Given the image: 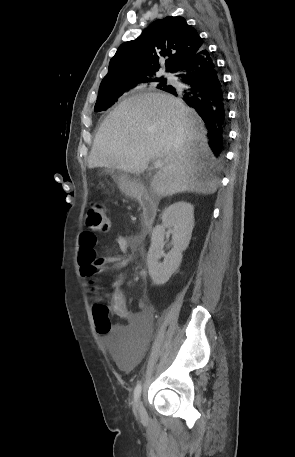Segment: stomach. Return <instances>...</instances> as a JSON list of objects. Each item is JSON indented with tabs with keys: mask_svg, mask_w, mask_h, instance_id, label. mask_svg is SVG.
Wrapping results in <instances>:
<instances>
[{
	"mask_svg": "<svg viewBox=\"0 0 295 457\" xmlns=\"http://www.w3.org/2000/svg\"><path fill=\"white\" fill-rule=\"evenodd\" d=\"M112 173L114 174V177H115V179L117 181L118 187L120 188V190L123 193L129 194V193L133 192L134 185L127 178L126 174L123 171L116 170V171H112Z\"/></svg>",
	"mask_w": 295,
	"mask_h": 457,
	"instance_id": "1",
	"label": "stomach"
}]
</instances>
